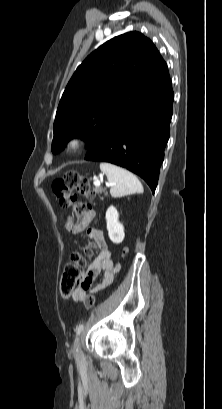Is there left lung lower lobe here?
Returning <instances> with one entry per match:
<instances>
[{
    "label": "left lung lower lobe",
    "instance_id": "1",
    "mask_svg": "<svg viewBox=\"0 0 222 409\" xmlns=\"http://www.w3.org/2000/svg\"><path fill=\"white\" fill-rule=\"evenodd\" d=\"M172 103L168 76L125 105L98 135L85 159L124 167L143 178L154 193L170 135Z\"/></svg>",
    "mask_w": 222,
    "mask_h": 409
}]
</instances>
